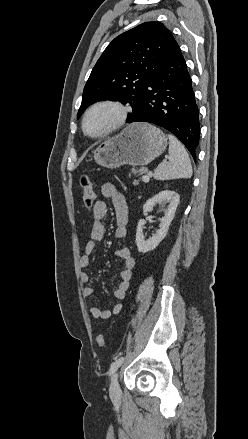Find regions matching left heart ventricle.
<instances>
[{
    "instance_id": "1",
    "label": "left heart ventricle",
    "mask_w": 248,
    "mask_h": 439,
    "mask_svg": "<svg viewBox=\"0 0 248 439\" xmlns=\"http://www.w3.org/2000/svg\"><path fill=\"white\" fill-rule=\"evenodd\" d=\"M117 112L111 107H100L94 110L86 122V129L90 134H98L114 123Z\"/></svg>"
}]
</instances>
